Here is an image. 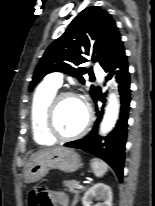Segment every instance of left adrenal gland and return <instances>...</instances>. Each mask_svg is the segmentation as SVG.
<instances>
[{
    "label": "left adrenal gland",
    "mask_w": 155,
    "mask_h": 206,
    "mask_svg": "<svg viewBox=\"0 0 155 206\" xmlns=\"http://www.w3.org/2000/svg\"><path fill=\"white\" fill-rule=\"evenodd\" d=\"M78 200H79V194H76L71 206H74L78 202Z\"/></svg>",
    "instance_id": "obj_1"
}]
</instances>
